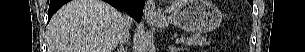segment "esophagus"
<instances>
[{"label": "esophagus", "mask_w": 305, "mask_h": 52, "mask_svg": "<svg viewBox=\"0 0 305 52\" xmlns=\"http://www.w3.org/2000/svg\"><path fill=\"white\" fill-rule=\"evenodd\" d=\"M144 17L147 21H153L160 17V13L157 11L153 0H148L146 2Z\"/></svg>", "instance_id": "34e87169"}]
</instances>
